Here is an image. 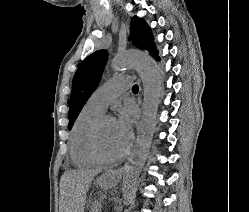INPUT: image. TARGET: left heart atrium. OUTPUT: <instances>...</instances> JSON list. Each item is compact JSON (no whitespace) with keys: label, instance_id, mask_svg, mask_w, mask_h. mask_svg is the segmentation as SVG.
Segmentation results:
<instances>
[{"label":"left heart atrium","instance_id":"obj_1","mask_svg":"<svg viewBox=\"0 0 249 212\" xmlns=\"http://www.w3.org/2000/svg\"><path fill=\"white\" fill-rule=\"evenodd\" d=\"M116 137L123 151L129 148L132 139L133 118L130 112L121 113L114 120Z\"/></svg>","mask_w":249,"mask_h":212}]
</instances>
